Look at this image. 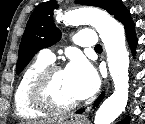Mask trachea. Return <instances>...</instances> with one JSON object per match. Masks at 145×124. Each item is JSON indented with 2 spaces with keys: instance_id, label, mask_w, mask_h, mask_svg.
I'll return each mask as SVG.
<instances>
[{
  "instance_id": "trachea-1",
  "label": "trachea",
  "mask_w": 145,
  "mask_h": 124,
  "mask_svg": "<svg viewBox=\"0 0 145 124\" xmlns=\"http://www.w3.org/2000/svg\"><path fill=\"white\" fill-rule=\"evenodd\" d=\"M101 49H102V47H101L100 44H98V45L95 46V50H101Z\"/></svg>"
}]
</instances>
